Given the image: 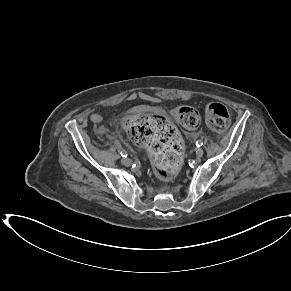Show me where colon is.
Here are the masks:
<instances>
[{"label": "colon", "mask_w": 291, "mask_h": 291, "mask_svg": "<svg viewBox=\"0 0 291 291\" xmlns=\"http://www.w3.org/2000/svg\"><path fill=\"white\" fill-rule=\"evenodd\" d=\"M174 118L188 129L200 124L199 113L191 106L180 105L173 110ZM206 123L214 130H225L230 115L225 106L210 103L204 108ZM124 128L132 140L149 150L157 177L163 181L174 179L181 167L184 145L176 128L163 116L137 114L124 121Z\"/></svg>", "instance_id": "obj_1"}]
</instances>
